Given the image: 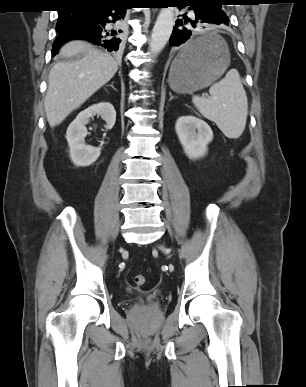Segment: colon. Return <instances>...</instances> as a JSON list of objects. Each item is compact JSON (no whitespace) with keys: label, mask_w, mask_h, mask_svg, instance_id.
<instances>
[{"label":"colon","mask_w":306,"mask_h":387,"mask_svg":"<svg viewBox=\"0 0 306 387\" xmlns=\"http://www.w3.org/2000/svg\"><path fill=\"white\" fill-rule=\"evenodd\" d=\"M134 281V284L137 286V287H141L145 284L146 282V278L144 275H136L133 279Z\"/></svg>","instance_id":"obj_1"}]
</instances>
